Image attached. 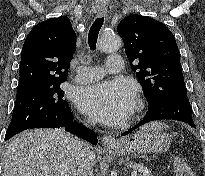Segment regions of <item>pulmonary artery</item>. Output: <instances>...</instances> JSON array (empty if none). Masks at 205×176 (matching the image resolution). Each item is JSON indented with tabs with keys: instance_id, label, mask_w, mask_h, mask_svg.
Masks as SVG:
<instances>
[{
	"instance_id": "e3ab8cb5",
	"label": "pulmonary artery",
	"mask_w": 205,
	"mask_h": 176,
	"mask_svg": "<svg viewBox=\"0 0 205 176\" xmlns=\"http://www.w3.org/2000/svg\"><path fill=\"white\" fill-rule=\"evenodd\" d=\"M106 69L109 73L119 74L122 72V58L119 55H111L107 58ZM104 74V71L95 66H81L78 68V73L75 77V81L78 83H88L100 79Z\"/></svg>"
}]
</instances>
